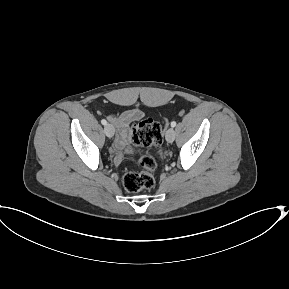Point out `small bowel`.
I'll return each instance as SVG.
<instances>
[{
	"label": "small bowel",
	"instance_id": "c3829d8e",
	"mask_svg": "<svg viewBox=\"0 0 289 289\" xmlns=\"http://www.w3.org/2000/svg\"><path fill=\"white\" fill-rule=\"evenodd\" d=\"M143 116V111L135 108L109 117L118 130L116 147L119 152H124L127 150V145L131 138L130 124L134 121L140 120Z\"/></svg>",
	"mask_w": 289,
	"mask_h": 289
}]
</instances>
